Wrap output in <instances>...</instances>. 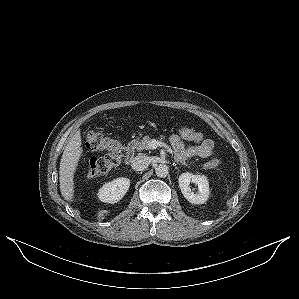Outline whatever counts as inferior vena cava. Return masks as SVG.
<instances>
[{
	"instance_id": "602c4592",
	"label": "inferior vena cava",
	"mask_w": 299,
	"mask_h": 299,
	"mask_svg": "<svg viewBox=\"0 0 299 299\" xmlns=\"http://www.w3.org/2000/svg\"><path fill=\"white\" fill-rule=\"evenodd\" d=\"M149 158L144 155L136 156L132 160V168L137 171L145 170L149 166Z\"/></svg>"
}]
</instances>
